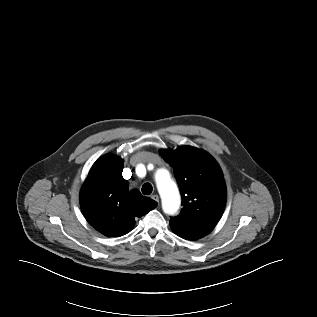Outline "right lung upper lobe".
<instances>
[{
    "mask_svg": "<svg viewBox=\"0 0 317 317\" xmlns=\"http://www.w3.org/2000/svg\"><path fill=\"white\" fill-rule=\"evenodd\" d=\"M123 161L105 155L92 166L80 193V205L87 221L100 233L119 237L128 233L135 219L157 206L138 190L128 192L122 177Z\"/></svg>",
    "mask_w": 317,
    "mask_h": 317,
    "instance_id": "obj_1",
    "label": "right lung upper lobe"
}]
</instances>
